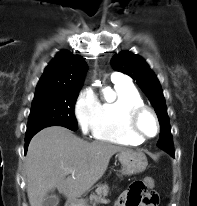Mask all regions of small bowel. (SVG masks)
I'll return each mask as SVG.
<instances>
[{
  "label": "small bowel",
  "mask_w": 197,
  "mask_h": 206,
  "mask_svg": "<svg viewBox=\"0 0 197 206\" xmlns=\"http://www.w3.org/2000/svg\"><path fill=\"white\" fill-rule=\"evenodd\" d=\"M155 197H157V195L152 192ZM128 191H125L121 197L118 199L117 203H116V206H129L128 204ZM142 206H145V205H142ZM146 206H157V200L156 201H151L148 205Z\"/></svg>",
  "instance_id": "obj_1"
}]
</instances>
